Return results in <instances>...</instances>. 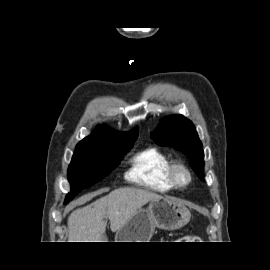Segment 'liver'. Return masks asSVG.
<instances>
[{
  "label": "liver",
  "mask_w": 270,
  "mask_h": 270,
  "mask_svg": "<svg viewBox=\"0 0 270 270\" xmlns=\"http://www.w3.org/2000/svg\"><path fill=\"white\" fill-rule=\"evenodd\" d=\"M95 194L90 195V198ZM161 195L145 189L125 187L113 190L68 217L69 242H104L106 219L112 232L123 227L149 201Z\"/></svg>",
  "instance_id": "obj_1"
}]
</instances>
